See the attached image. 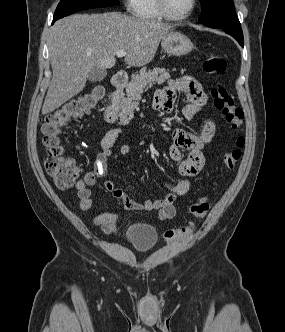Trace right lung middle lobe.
<instances>
[{"instance_id":"1","label":"right lung middle lobe","mask_w":285,"mask_h":332,"mask_svg":"<svg viewBox=\"0 0 285 332\" xmlns=\"http://www.w3.org/2000/svg\"><path fill=\"white\" fill-rule=\"evenodd\" d=\"M118 3L119 0H61L56 8L54 18L59 19L81 10L114 6Z\"/></svg>"}]
</instances>
